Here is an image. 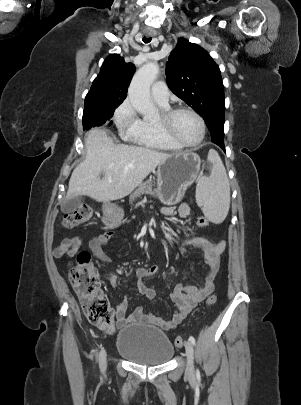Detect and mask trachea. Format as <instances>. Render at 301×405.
<instances>
[{
  "instance_id": "1",
  "label": "trachea",
  "mask_w": 301,
  "mask_h": 405,
  "mask_svg": "<svg viewBox=\"0 0 301 405\" xmlns=\"http://www.w3.org/2000/svg\"><path fill=\"white\" fill-rule=\"evenodd\" d=\"M150 41H151V37L150 38H146V37L143 38L144 43H149Z\"/></svg>"
}]
</instances>
